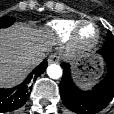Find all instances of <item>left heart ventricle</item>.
<instances>
[{"instance_id": "obj_1", "label": "left heart ventricle", "mask_w": 114, "mask_h": 114, "mask_svg": "<svg viewBox=\"0 0 114 114\" xmlns=\"http://www.w3.org/2000/svg\"><path fill=\"white\" fill-rule=\"evenodd\" d=\"M82 36L84 38H90L93 36L94 34V30H93V27L90 26V25H86L83 29H82V32H81Z\"/></svg>"}]
</instances>
